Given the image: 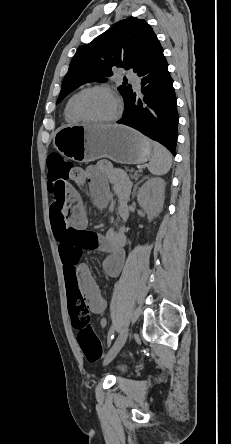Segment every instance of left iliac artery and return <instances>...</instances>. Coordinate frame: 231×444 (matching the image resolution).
I'll use <instances>...</instances> for the list:
<instances>
[{"mask_svg": "<svg viewBox=\"0 0 231 444\" xmlns=\"http://www.w3.org/2000/svg\"><path fill=\"white\" fill-rule=\"evenodd\" d=\"M114 327L112 326L110 328L109 334H108V345H110L111 341L114 339Z\"/></svg>", "mask_w": 231, "mask_h": 444, "instance_id": "obj_1", "label": "left iliac artery"}]
</instances>
